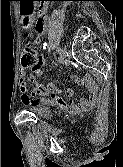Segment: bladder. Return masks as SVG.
<instances>
[{"instance_id": "obj_1", "label": "bladder", "mask_w": 123, "mask_h": 167, "mask_svg": "<svg viewBox=\"0 0 123 167\" xmlns=\"http://www.w3.org/2000/svg\"><path fill=\"white\" fill-rule=\"evenodd\" d=\"M26 110L42 118H47L50 115V110L45 105H31V106L26 107Z\"/></svg>"}]
</instances>
